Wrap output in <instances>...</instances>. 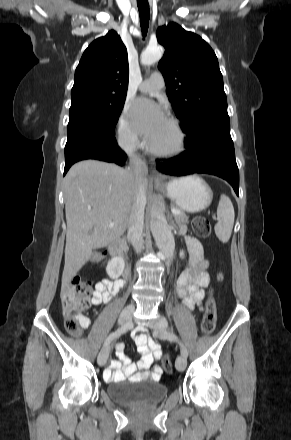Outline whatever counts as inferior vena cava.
Returning a JSON list of instances; mask_svg holds the SVG:
<instances>
[{
    "label": "inferior vena cava",
    "mask_w": 291,
    "mask_h": 440,
    "mask_svg": "<svg viewBox=\"0 0 291 440\" xmlns=\"http://www.w3.org/2000/svg\"><path fill=\"white\" fill-rule=\"evenodd\" d=\"M130 165L129 170L132 171L136 177L137 190L132 204L129 222H128V237L137 252L143 249V224H144V209L146 205V194L144 187V179L148 174V167L144 160L137 156L134 151L129 152Z\"/></svg>",
    "instance_id": "602c4592"
}]
</instances>
